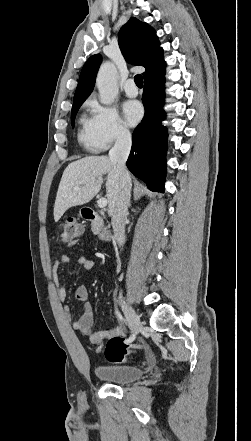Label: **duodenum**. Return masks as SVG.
Instances as JSON below:
<instances>
[{
	"label": "duodenum",
	"instance_id": "1",
	"mask_svg": "<svg viewBox=\"0 0 251 441\" xmlns=\"http://www.w3.org/2000/svg\"><path fill=\"white\" fill-rule=\"evenodd\" d=\"M83 217L90 222L97 225L98 237L103 242H109L112 238V233L110 228L103 223L98 213L91 208H84L82 210Z\"/></svg>",
	"mask_w": 251,
	"mask_h": 441
}]
</instances>
